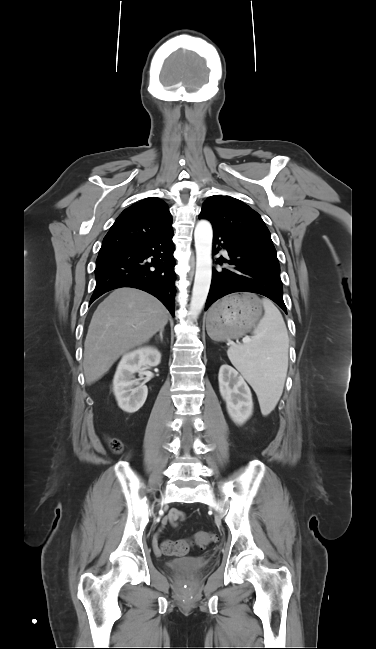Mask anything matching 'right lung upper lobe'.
I'll return each mask as SVG.
<instances>
[{
  "instance_id": "right-lung-upper-lobe-1",
  "label": "right lung upper lobe",
  "mask_w": 376,
  "mask_h": 649,
  "mask_svg": "<svg viewBox=\"0 0 376 649\" xmlns=\"http://www.w3.org/2000/svg\"><path fill=\"white\" fill-rule=\"evenodd\" d=\"M172 231V216L164 201L146 198L126 208L105 236L100 252L123 248Z\"/></svg>"
}]
</instances>
